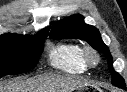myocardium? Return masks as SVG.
Instances as JSON below:
<instances>
[{
    "label": "myocardium",
    "mask_w": 127,
    "mask_h": 92,
    "mask_svg": "<svg viewBox=\"0 0 127 92\" xmlns=\"http://www.w3.org/2000/svg\"><path fill=\"white\" fill-rule=\"evenodd\" d=\"M82 56L87 67H96L100 62L99 54L91 47H85Z\"/></svg>",
    "instance_id": "1"
}]
</instances>
